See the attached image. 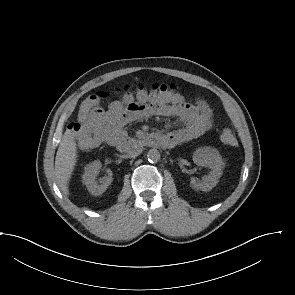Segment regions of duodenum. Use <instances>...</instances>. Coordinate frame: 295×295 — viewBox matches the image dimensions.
Wrapping results in <instances>:
<instances>
[{"label": "duodenum", "mask_w": 295, "mask_h": 295, "mask_svg": "<svg viewBox=\"0 0 295 295\" xmlns=\"http://www.w3.org/2000/svg\"><path fill=\"white\" fill-rule=\"evenodd\" d=\"M139 142L150 147H158L166 144V138L158 134H150L139 139ZM115 145L120 151H127L130 148V144L123 140L117 142Z\"/></svg>", "instance_id": "duodenum-1"}]
</instances>
